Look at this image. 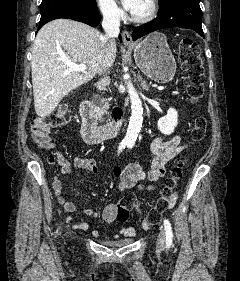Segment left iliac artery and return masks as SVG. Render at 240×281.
<instances>
[{"instance_id":"obj_1","label":"left iliac artery","mask_w":240,"mask_h":281,"mask_svg":"<svg viewBox=\"0 0 240 281\" xmlns=\"http://www.w3.org/2000/svg\"><path fill=\"white\" fill-rule=\"evenodd\" d=\"M132 144L129 145L130 148H132ZM164 227H165V231H166V246L169 248L172 244V240H173V232H172V227L171 224L169 222V220L165 219L164 220Z\"/></svg>"}]
</instances>
